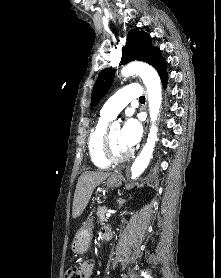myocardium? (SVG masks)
Here are the masks:
<instances>
[{"mask_svg": "<svg viewBox=\"0 0 221 278\" xmlns=\"http://www.w3.org/2000/svg\"><path fill=\"white\" fill-rule=\"evenodd\" d=\"M101 152L105 160L109 163H122L129 160L133 155L132 150H129L122 156L114 155L111 148L110 130H106L103 135Z\"/></svg>", "mask_w": 221, "mask_h": 278, "instance_id": "1", "label": "myocardium"}]
</instances>
